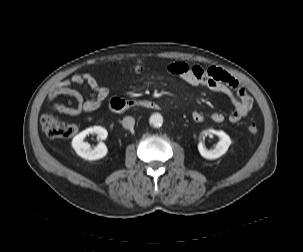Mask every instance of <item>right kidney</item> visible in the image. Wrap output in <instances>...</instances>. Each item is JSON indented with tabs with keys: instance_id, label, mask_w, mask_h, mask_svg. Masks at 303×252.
Segmentation results:
<instances>
[{
	"instance_id": "right-kidney-1",
	"label": "right kidney",
	"mask_w": 303,
	"mask_h": 252,
	"mask_svg": "<svg viewBox=\"0 0 303 252\" xmlns=\"http://www.w3.org/2000/svg\"><path fill=\"white\" fill-rule=\"evenodd\" d=\"M97 134L98 138L104 140L108 136V132L101 126H93L85 129L76 135L72 140V147L77 155L86 160H98L106 156L108 149L103 142H100L94 149H91L90 144L84 142V138L89 134Z\"/></svg>"
}]
</instances>
